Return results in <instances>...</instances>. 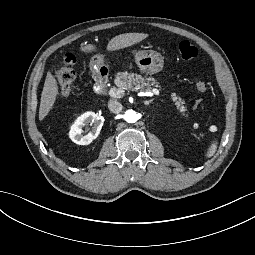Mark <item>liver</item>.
Returning <instances> with one entry per match:
<instances>
[{
    "mask_svg": "<svg viewBox=\"0 0 255 255\" xmlns=\"http://www.w3.org/2000/svg\"><path fill=\"white\" fill-rule=\"evenodd\" d=\"M149 34L146 33H125L112 38L107 45V52H116L134 46L146 38ZM99 46L95 43H89L79 47L78 51L83 55H90L98 52ZM59 94V86L55 75L48 71L45 79L44 87L41 93L39 107V121H43L53 108L57 96Z\"/></svg>",
    "mask_w": 255,
    "mask_h": 255,
    "instance_id": "6515ba94",
    "label": "liver"
}]
</instances>
